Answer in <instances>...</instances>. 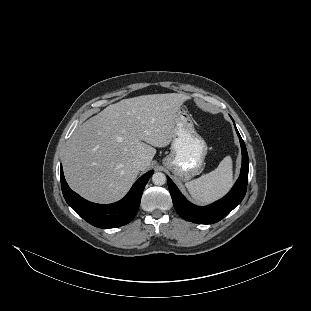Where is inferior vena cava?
Here are the masks:
<instances>
[{"mask_svg":"<svg viewBox=\"0 0 311 311\" xmlns=\"http://www.w3.org/2000/svg\"><path fill=\"white\" fill-rule=\"evenodd\" d=\"M142 163H143V161L141 160V159H136V160H134V162H133V165L135 166V167H141L142 166Z\"/></svg>","mask_w":311,"mask_h":311,"instance_id":"602c4592","label":"inferior vena cava"}]
</instances>
